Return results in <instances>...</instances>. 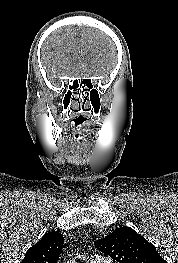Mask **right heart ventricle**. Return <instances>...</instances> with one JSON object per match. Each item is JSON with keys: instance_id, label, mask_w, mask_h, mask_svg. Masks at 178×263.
I'll return each mask as SVG.
<instances>
[{"instance_id": "1", "label": "right heart ventricle", "mask_w": 178, "mask_h": 263, "mask_svg": "<svg viewBox=\"0 0 178 263\" xmlns=\"http://www.w3.org/2000/svg\"><path fill=\"white\" fill-rule=\"evenodd\" d=\"M87 263H95V262H90V261H87Z\"/></svg>"}]
</instances>
